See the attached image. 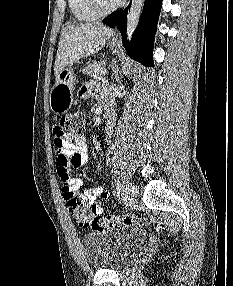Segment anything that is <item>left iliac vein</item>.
I'll return each instance as SVG.
<instances>
[{"mask_svg":"<svg viewBox=\"0 0 233 286\" xmlns=\"http://www.w3.org/2000/svg\"><path fill=\"white\" fill-rule=\"evenodd\" d=\"M137 198V189L133 183H128L124 187V199L125 202L132 206L135 204Z\"/></svg>","mask_w":233,"mask_h":286,"instance_id":"1","label":"left iliac vein"}]
</instances>
